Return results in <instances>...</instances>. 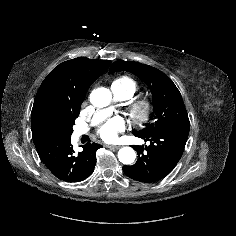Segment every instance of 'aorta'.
Wrapping results in <instances>:
<instances>
[{"label": "aorta", "instance_id": "obj_1", "mask_svg": "<svg viewBox=\"0 0 236 236\" xmlns=\"http://www.w3.org/2000/svg\"><path fill=\"white\" fill-rule=\"evenodd\" d=\"M111 92L106 88H97L90 94V102L99 108L106 107L111 102ZM119 161L123 164H131L135 161L136 153L131 147H123L118 151Z\"/></svg>", "mask_w": 236, "mask_h": 236}]
</instances>
